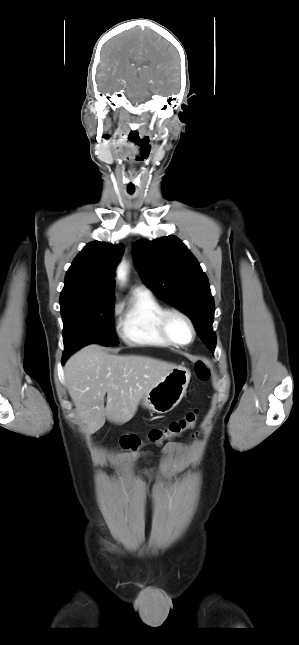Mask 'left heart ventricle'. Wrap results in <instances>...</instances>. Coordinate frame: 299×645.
Listing matches in <instances>:
<instances>
[{"mask_svg":"<svg viewBox=\"0 0 299 645\" xmlns=\"http://www.w3.org/2000/svg\"><path fill=\"white\" fill-rule=\"evenodd\" d=\"M169 330L172 336L179 342H187L190 340V328L180 317L175 316L170 319Z\"/></svg>","mask_w":299,"mask_h":645,"instance_id":"1","label":"left heart ventricle"}]
</instances>
